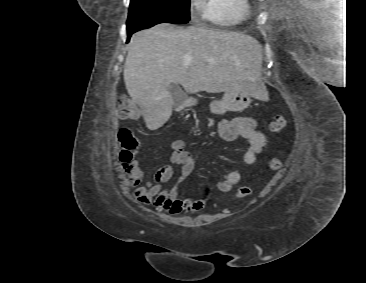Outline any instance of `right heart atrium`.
Returning a JSON list of instances; mask_svg holds the SVG:
<instances>
[{
    "instance_id": "obj_1",
    "label": "right heart atrium",
    "mask_w": 366,
    "mask_h": 283,
    "mask_svg": "<svg viewBox=\"0 0 366 283\" xmlns=\"http://www.w3.org/2000/svg\"><path fill=\"white\" fill-rule=\"evenodd\" d=\"M190 4L195 10H200L201 8V0H190Z\"/></svg>"
}]
</instances>
